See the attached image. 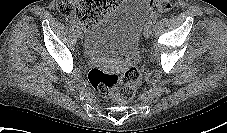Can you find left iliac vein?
I'll return each mask as SVG.
<instances>
[{"mask_svg": "<svg viewBox=\"0 0 227 133\" xmlns=\"http://www.w3.org/2000/svg\"><path fill=\"white\" fill-rule=\"evenodd\" d=\"M151 32H152V24L148 22L144 27V31H143L144 37L148 39L151 35Z\"/></svg>", "mask_w": 227, "mask_h": 133, "instance_id": "1", "label": "left iliac vein"}]
</instances>
